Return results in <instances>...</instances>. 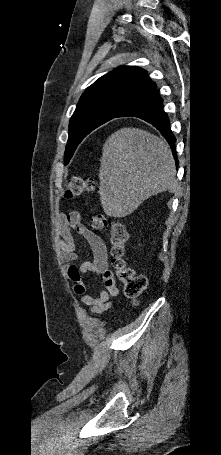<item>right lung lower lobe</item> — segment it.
I'll return each mask as SVG.
<instances>
[{
    "instance_id": "right-lung-lower-lobe-1",
    "label": "right lung lower lobe",
    "mask_w": 221,
    "mask_h": 455,
    "mask_svg": "<svg viewBox=\"0 0 221 455\" xmlns=\"http://www.w3.org/2000/svg\"><path fill=\"white\" fill-rule=\"evenodd\" d=\"M162 98L156 89L147 97L124 110L118 117H138L157 128L171 146L176 164H178L175 151L176 138L170 130V121L162 109Z\"/></svg>"
}]
</instances>
